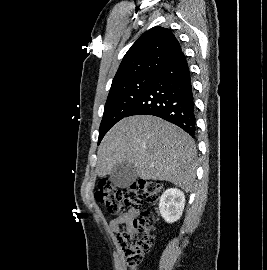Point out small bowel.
<instances>
[{
	"label": "small bowel",
	"mask_w": 267,
	"mask_h": 270,
	"mask_svg": "<svg viewBox=\"0 0 267 270\" xmlns=\"http://www.w3.org/2000/svg\"><path fill=\"white\" fill-rule=\"evenodd\" d=\"M138 216L137 210H129L119 217L110 220L109 228L112 232L118 233L121 230V226L124 228L128 227L134 219Z\"/></svg>",
	"instance_id": "c3829d8e"
}]
</instances>
